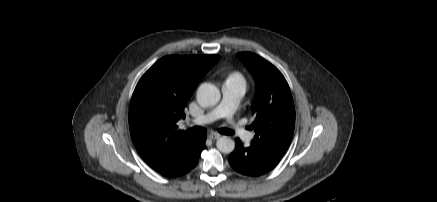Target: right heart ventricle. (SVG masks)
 I'll return each instance as SVG.
<instances>
[{"mask_svg": "<svg viewBox=\"0 0 437 202\" xmlns=\"http://www.w3.org/2000/svg\"><path fill=\"white\" fill-rule=\"evenodd\" d=\"M234 77H238L237 75H233Z\"/></svg>", "mask_w": 437, "mask_h": 202, "instance_id": "1", "label": "right heart ventricle"}]
</instances>
